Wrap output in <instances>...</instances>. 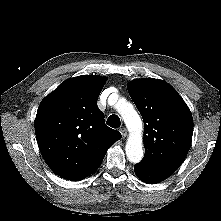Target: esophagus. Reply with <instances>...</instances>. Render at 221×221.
I'll return each mask as SVG.
<instances>
[{
    "label": "esophagus",
    "mask_w": 221,
    "mask_h": 221,
    "mask_svg": "<svg viewBox=\"0 0 221 221\" xmlns=\"http://www.w3.org/2000/svg\"><path fill=\"white\" fill-rule=\"evenodd\" d=\"M120 133L122 137L125 138L127 136V129L125 127L121 128Z\"/></svg>",
    "instance_id": "obj_1"
}]
</instances>
